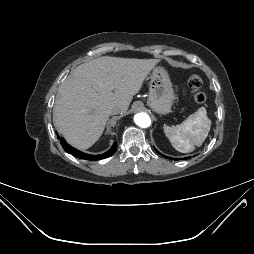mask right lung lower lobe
I'll use <instances>...</instances> for the list:
<instances>
[{
    "label": "right lung lower lobe",
    "instance_id": "98d812e1",
    "mask_svg": "<svg viewBox=\"0 0 254 254\" xmlns=\"http://www.w3.org/2000/svg\"><path fill=\"white\" fill-rule=\"evenodd\" d=\"M58 139H60V143L66 152H68V153L72 154L73 156L80 158V159H86V160L105 159L107 157H110L117 149V142H115L106 153L100 154V155H90V154H85L83 152H80V151L76 150L75 148L69 146L65 142V140L63 138H60L59 136H58Z\"/></svg>",
    "mask_w": 254,
    "mask_h": 254
}]
</instances>
